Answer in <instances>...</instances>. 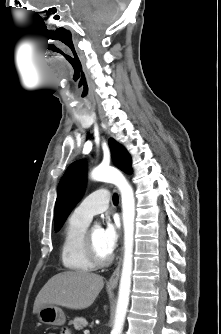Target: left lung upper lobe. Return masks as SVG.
Here are the masks:
<instances>
[{
  "mask_svg": "<svg viewBox=\"0 0 221 334\" xmlns=\"http://www.w3.org/2000/svg\"><path fill=\"white\" fill-rule=\"evenodd\" d=\"M115 165L127 174L132 173L131 157L126 149L114 139L109 140ZM86 184V162H73L60 180L54 213V230L58 231L70 211L81 198Z\"/></svg>",
  "mask_w": 221,
  "mask_h": 334,
  "instance_id": "1",
  "label": "left lung upper lobe"
}]
</instances>
